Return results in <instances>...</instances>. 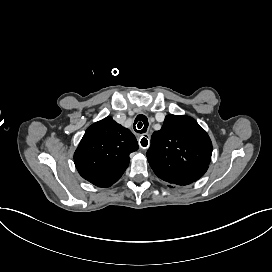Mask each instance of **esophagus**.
I'll list each match as a JSON object with an SVG mask.
<instances>
[{
  "label": "esophagus",
  "mask_w": 272,
  "mask_h": 272,
  "mask_svg": "<svg viewBox=\"0 0 272 272\" xmlns=\"http://www.w3.org/2000/svg\"><path fill=\"white\" fill-rule=\"evenodd\" d=\"M149 145H150V139L148 135L142 136L139 138V146L141 149L147 150L149 148Z\"/></svg>",
  "instance_id": "34e87169"
}]
</instances>
